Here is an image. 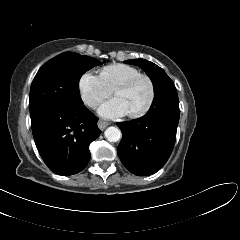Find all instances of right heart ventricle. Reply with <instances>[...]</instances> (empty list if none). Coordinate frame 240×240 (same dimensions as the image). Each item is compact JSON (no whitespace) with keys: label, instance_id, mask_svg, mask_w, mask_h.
I'll return each mask as SVG.
<instances>
[{"label":"right heart ventricle","instance_id":"e07e8e85","mask_svg":"<svg viewBox=\"0 0 240 240\" xmlns=\"http://www.w3.org/2000/svg\"><path fill=\"white\" fill-rule=\"evenodd\" d=\"M139 75H141L140 70L134 66L123 63L105 66L100 71V77L112 90H114L119 84Z\"/></svg>","mask_w":240,"mask_h":240}]
</instances>
